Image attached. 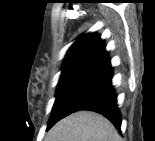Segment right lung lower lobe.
I'll use <instances>...</instances> for the list:
<instances>
[{"mask_svg":"<svg viewBox=\"0 0 155 141\" xmlns=\"http://www.w3.org/2000/svg\"><path fill=\"white\" fill-rule=\"evenodd\" d=\"M112 73L108 59L62 107L61 119L81 110L94 111L108 118L120 131L121 115L112 86Z\"/></svg>","mask_w":155,"mask_h":141,"instance_id":"obj_1","label":"right lung lower lobe"}]
</instances>
